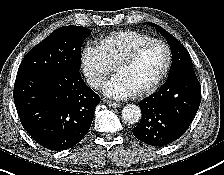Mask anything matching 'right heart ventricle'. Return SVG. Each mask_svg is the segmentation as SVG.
<instances>
[{
	"mask_svg": "<svg viewBox=\"0 0 224 175\" xmlns=\"http://www.w3.org/2000/svg\"><path fill=\"white\" fill-rule=\"evenodd\" d=\"M152 39L149 35L138 31L114 32L100 40L99 48L109 62L115 66L124 56L141 43Z\"/></svg>",
	"mask_w": 224,
	"mask_h": 175,
	"instance_id": "e07e8e85",
	"label": "right heart ventricle"
}]
</instances>
